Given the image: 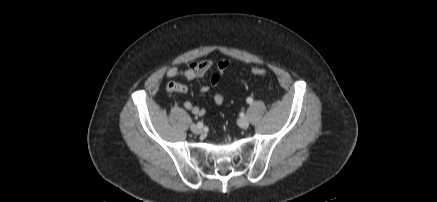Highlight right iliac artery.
<instances>
[{
	"instance_id": "82829eb1",
	"label": "right iliac artery",
	"mask_w": 437,
	"mask_h": 202,
	"mask_svg": "<svg viewBox=\"0 0 437 202\" xmlns=\"http://www.w3.org/2000/svg\"><path fill=\"white\" fill-rule=\"evenodd\" d=\"M197 126H198V127H203V123H202V122H198V123H197Z\"/></svg>"
}]
</instances>
